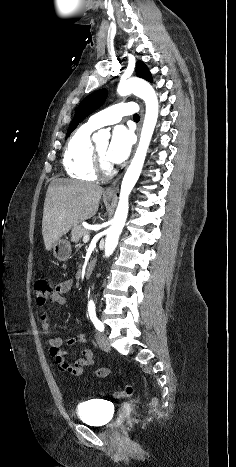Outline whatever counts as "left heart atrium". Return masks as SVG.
I'll return each instance as SVG.
<instances>
[{
	"instance_id": "39dd6f15",
	"label": "left heart atrium",
	"mask_w": 236,
	"mask_h": 467,
	"mask_svg": "<svg viewBox=\"0 0 236 467\" xmlns=\"http://www.w3.org/2000/svg\"><path fill=\"white\" fill-rule=\"evenodd\" d=\"M133 145V135L124 126L114 128L107 150V159L112 163L123 162L130 154Z\"/></svg>"
}]
</instances>
